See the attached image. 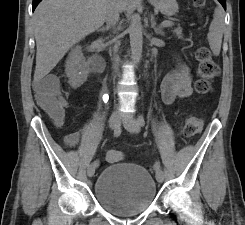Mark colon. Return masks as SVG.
<instances>
[{
  "mask_svg": "<svg viewBox=\"0 0 245 225\" xmlns=\"http://www.w3.org/2000/svg\"><path fill=\"white\" fill-rule=\"evenodd\" d=\"M196 6L201 7L204 0H194ZM195 60L198 65V73L200 79L196 83L198 93L206 94L212 91L213 81L219 74V69L215 63L210 50L205 46H200L195 52ZM36 98L38 103L52 114L59 115L65 108L66 103L60 94V83L57 79L45 80L39 86ZM203 120L189 116L185 121L183 135L185 138H190L202 130Z\"/></svg>",
  "mask_w": 245,
  "mask_h": 225,
  "instance_id": "obj_1",
  "label": "colon"
}]
</instances>
